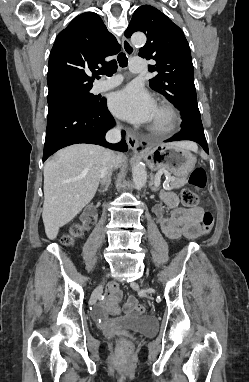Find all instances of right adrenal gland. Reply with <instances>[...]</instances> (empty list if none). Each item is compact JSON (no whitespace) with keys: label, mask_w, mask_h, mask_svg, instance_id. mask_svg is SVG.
<instances>
[{"label":"right adrenal gland","mask_w":249,"mask_h":382,"mask_svg":"<svg viewBox=\"0 0 249 382\" xmlns=\"http://www.w3.org/2000/svg\"><path fill=\"white\" fill-rule=\"evenodd\" d=\"M107 188H108V184H106V186L103 189H99L98 191L100 193H104L107 190Z\"/></svg>","instance_id":"obj_1"}]
</instances>
